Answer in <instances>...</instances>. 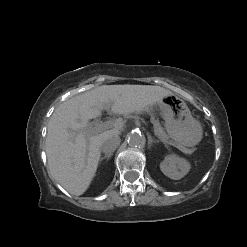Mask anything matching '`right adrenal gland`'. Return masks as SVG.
Listing matches in <instances>:
<instances>
[{"instance_id": "1", "label": "right adrenal gland", "mask_w": 247, "mask_h": 247, "mask_svg": "<svg viewBox=\"0 0 247 247\" xmlns=\"http://www.w3.org/2000/svg\"><path fill=\"white\" fill-rule=\"evenodd\" d=\"M111 156H112V154H105V155L101 158V160H103V159L109 160V159L111 158Z\"/></svg>"}]
</instances>
